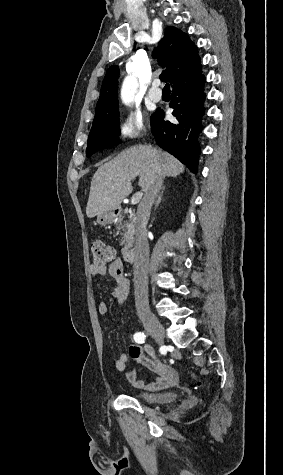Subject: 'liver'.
Returning a JSON list of instances; mask_svg holds the SVG:
<instances>
[{
    "label": "liver",
    "mask_w": 283,
    "mask_h": 475,
    "mask_svg": "<svg viewBox=\"0 0 283 475\" xmlns=\"http://www.w3.org/2000/svg\"><path fill=\"white\" fill-rule=\"evenodd\" d=\"M158 166L163 176L176 178L184 172V166L174 156L152 146H130L114 160L103 164L95 172L87 202V218H95L102 212L118 210L121 202L131 194V180L140 176L139 184L145 192Z\"/></svg>",
    "instance_id": "6515ba94"
}]
</instances>
